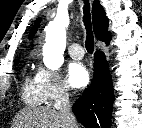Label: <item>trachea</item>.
<instances>
[{"label":"trachea","mask_w":142,"mask_h":128,"mask_svg":"<svg viewBox=\"0 0 142 128\" xmlns=\"http://www.w3.org/2000/svg\"><path fill=\"white\" fill-rule=\"evenodd\" d=\"M84 1H85V5L83 7V11H84L83 22L85 25V29L87 31L85 46H86V50L90 54H92L94 51V37L92 32L90 5L88 0H84Z\"/></svg>","instance_id":"obj_1"}]
</instances>
